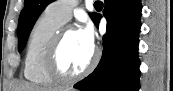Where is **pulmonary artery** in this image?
Segmentation results:
<instances>
[{
	"instance_id": "pulmonary-artery-1",
	"label": "pulmonary artery",
	"mask_w": 173,
	"mask_h": 91,
	"mask_svg": "<svg viewBox=\"0 0 173 91\" xmlns=\"http://www.w3.org/2000/svg\"><path fill=\"white\" fill-rule=\"evenodd\" d=\"M78 1L63 0L54 1L48 7V10L62 23L68 22L72 17V11Z\"/></svg>"
}]
</instances>
